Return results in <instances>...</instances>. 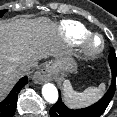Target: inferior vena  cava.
<instances>
[{"instance_id": "inferior-vena-cava-1", "label": "inferior vena cava", "mask_w": 117, "mask_h": 117, "mask_svg": "<svg viewBox=\"0 0 117 117\" xmlns=\"http://www.w3.org/2000/svg\"><path fill=\"white\" fill-rule=\"evenodd\" d=\"M30 66L29 65H22L20 67V71L23 73V74H27L30 72Z\"/></svg>"}]
</instances>
